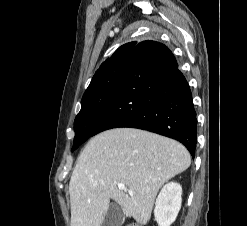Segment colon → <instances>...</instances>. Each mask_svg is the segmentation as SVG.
<instances>
[{
  "instance_id": "5ec220e1",
  "label": "colon",
  "mask_w": 247,
  "mask_h": 226,
  "mask_svg": "<svg viewBox=\"0 0 247 226\" xmlns=\"http://www.w3.org/2000/svg\"><path fill=\"white\" fill-rule=\"evenodd\" d=\"M126 226H140V225L136 222H132V223L127 224Z\"/></svg>"
}]
</instances>
